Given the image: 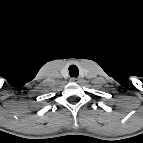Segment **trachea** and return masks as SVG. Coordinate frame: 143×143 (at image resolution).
<instances>
[{
  "instance_id": "obj_1",
  "label": "trachea",
  "mask_w": 143,
  "mask_h": 143,
  "mask_svg": "<svg viewBox=\"0 0 143 143\" xmlns=\"http://www.w3.org/2000/svg\"><path fill=\"white\" fill-rule=\"evenodd\" d=\"M69 75H70V77H75V78L78 77L79 70H78V67L76 65H71L69 67Z\"/></svg>"
}]
</instances>
